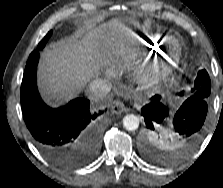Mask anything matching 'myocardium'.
I'll use <instances>...</instances> for the list:
<instances>
[{"label":"myocardium","instance_id":"obj_1","mask_svg":"<svg viewBox=\"0 0 223 188\" xmlns=\"http://www.w3.org/2000/svg\"><path fill=\"white\" fill-rule=\"evenodd\" d=\"M164 53L162 58L153 61L139 72V80L145 87H153L168 79L178 68L182 43L174 36L168 37L163 43Z\"/></svg>","mask_w":223,"mask_h":188}]
</instances>
